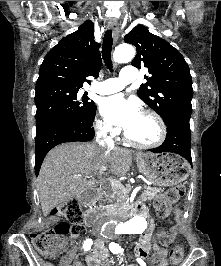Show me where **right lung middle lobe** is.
Returning <instances> with one entry per match:
<instances>
[{
    "label": "right lung middle lobe",
    "instance_id": "right-lung-middle-lobe-1",
    "mask_svg": "<svg viewBox=\"0 0 221 266\" xmlns=\"http://www.w3.org/2000/svg\"><path fill=\"white\" fill-rule=\"evenodd\" d=\"M36 128L40 132L50 124L61 120L92 124L96 105L87 94L81 96L77 88L44 87L35 89Z\"/></svg>",
    "mask_w": 221,
    "mask_h": 266
}]
</instances>
